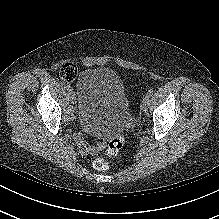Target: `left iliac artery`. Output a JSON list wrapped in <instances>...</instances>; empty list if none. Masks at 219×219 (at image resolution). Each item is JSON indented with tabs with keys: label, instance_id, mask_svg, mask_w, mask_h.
<instances>
[{
	"label": "left iliac artery",
	"instance_id": "44dca946",
	"mask_svg": "<svg viewBox=\"0 0 219 219\" xmlns=\"http://www.w3.org/2000/svg\"><path fill=\"white\" fill-rule=\"evenodd\" d=\"M152 94H153V89H150V90H148L146 96H147L148 98H150V97L152 96Z\"/></svg>",
	"mask_w": 219,
	"mask_h": 219
}]
</instances>
